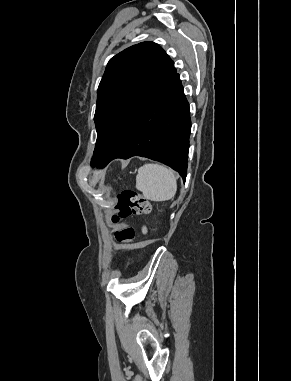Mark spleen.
<instances>
[{"label": "spleen", "instance_id": "spleen-1", "mask_svg": "<svg viewBox=\"0 0 291 381\" xmlns=\"http://www.w3.org/2000/svg\"><path fill=\"white\" fill-rule=\"evenodd\" d=\"M136 188L146 199L161 202L175 196L177 181L172 170L159 164L147 163L138 170Z\"/></svg>", "mask_w": 291, "mask_h": 381}]
</instances>
